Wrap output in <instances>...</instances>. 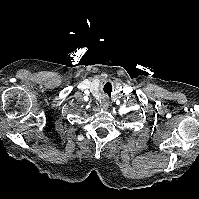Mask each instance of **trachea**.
Returning a JSON list of instances; mask_svg holds the SVG:
<instances>
[{
	"instance_id": "trachea-1",
	"label": "trachea",
	"mask_w": 199,
	"mask_h": 199,
	"mask_svg": "<svg viewBox=\"0 0 199 199\" xmlns=\"http://www.w3.org/2000/svg\"><path fill=\"white\" fill-rule=\"evenodd\" d=\"M112 85L111 83L107 82L104 85V93H106L109 97H111Z\"/></svg>"
}]
</instances>
